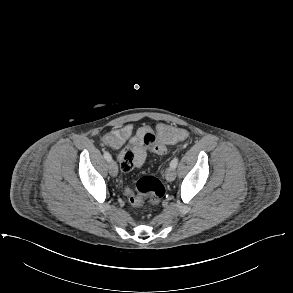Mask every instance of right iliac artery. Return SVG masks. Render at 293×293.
I'll return each instance as SVG.
<instances>
[{"label": "right iliac artery", "instance_id": "right-iliac-artery-1", "mask_svg": "<svg viewBox=\"0 0 293 293\" xmlns=\"http://www.w3.org/2000/svg\"><path fill=\"white\" fill-rule=\"evenodd\" d=\"M104 158H105L107 161H111V160H112V157H111V155L109 154V152H104Z\"/></svg>", "mask_w": 293, "mask_h": 293}]
</instances>
